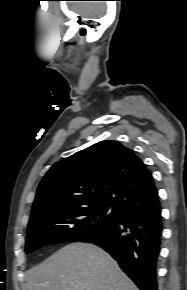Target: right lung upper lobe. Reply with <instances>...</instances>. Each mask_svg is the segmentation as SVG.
<instances>
[{
    "mask_svg": "<svg viewBox=\"0 0 187 290\" xmlns=\"http://www.w3.org/2000/svg\"><path fill=\"white\" fill-rule=\"evenodd\" d=\"M98 204L121 214L160 206L151 173L117 141L98 142L55 163L38 186L29 225L55 212Z\"/></svg>",
    "mask_w": 187,
    "mask_h": 290,
    "instance_id": "obj_1",
    "label": "right lung upper lobe"
}]
</instances>
